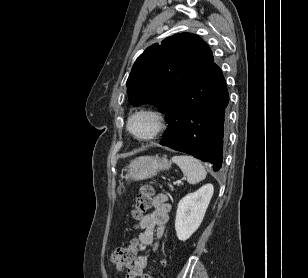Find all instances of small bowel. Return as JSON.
<instances>
[{
    "label": "small bowel",
    "instance_id": "c3829d8e",
    "mask_svg": "<svg viewBox=\"0 0 308 278\" xmlns=\"http://www.w3.org/2000/svg\"><path fill=\"white\" fill-rule=\"evenodd\" d=\"M170 204L165 194H157L152 202V209L148 211L139 222L140 233L138 235L139 248L144 250L154 244V250L158 249V242L164 235L169 222ZM149 259L147 255L140 254L136 257L131 267L127 269L125 278H138L147 269Z\"/></svg>",
    "mask_w": 308,
    "mask_h": 278
}]
</instances>
